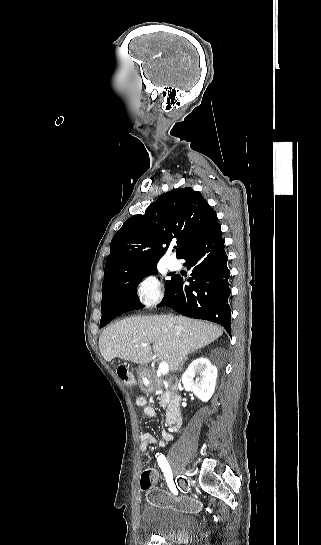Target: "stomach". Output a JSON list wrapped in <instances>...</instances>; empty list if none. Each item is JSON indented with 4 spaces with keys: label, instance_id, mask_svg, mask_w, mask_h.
Masks as SVG:
<instances>
[{
    "label": "stomach",
    "instance_id": "1",
    "mask_svg": "<svg viewBox=\"0 0 321 545\" xmlns=\"http://www.w3.org/2000/svg\"><path fill=\"white\" fill-rule=\"evenodd\" d=\"M147 369H148V367H145V365H140V367H138V369H137V373H138V377L140 379L142 389H147V387H145L144 383H142L143 377H146Z\"/></svg>",
    "mask_w": 321,
    "mask_h": 545
}]
</instances>
